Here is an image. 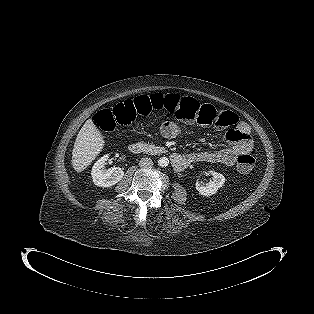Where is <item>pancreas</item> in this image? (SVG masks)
<instances>
[{
  "mask_svg": "<svg viewBox=\"0 0 314 314\" xmlns=\"http://www.w3.org/2000/svg\"><path fill=\"white\" fill-rule=\"evenodd\" d=\"M144 152L145 153H148L150 155H156V154H162V153H165L166 150L164 147L162 146H156L154 144H145L144 145Z\"/></svg>",
  "mask_w": 314,
  "mask_h": 314,
  "instance_id": "cf45deb5",
  "label": "pancreas"
}]
</instances>
